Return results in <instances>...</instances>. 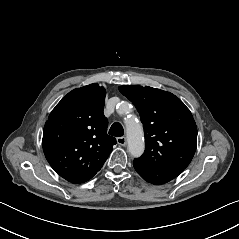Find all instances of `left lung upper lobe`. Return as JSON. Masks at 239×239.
<instances>
[{"mask_svg": "<svg viewBox=\"0 0 239 239\" xmlns=\"http://www.w3.org/2000/svg\"><path fill=\"white\" fill-rule=\"evenodd\" d=\"M119 91L135 105L144 127L145 152L134 161L185 169L197 146V127L189 109L174 94L160 89L127 85Z\"/></svg>", "mask_w": 239, "mask_h": 239, "instance_id": "1", "label": "left lung upper lobe"}]
</instances>
